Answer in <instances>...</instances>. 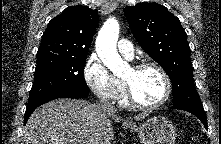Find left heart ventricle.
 <instances>
[{
  "label": "left heart ventricle",
  "instance_id": "left-heart-ventricle-1",
  "mask_svg": "<svg viewBox=\"0 0 221 144\" xmlns=\"http://www.w3.org/2000/svg\"><path fill=\"white\" fill-rule=\"evenodd\" d=\"M132 87L138 101L144 104H154L164 95L165 85L161 74L154 68H145L141 71L129 69L124 77Z\"/></svg>",
  "mask_w": 221,
  "mask_h": 144
}]
</instances>
